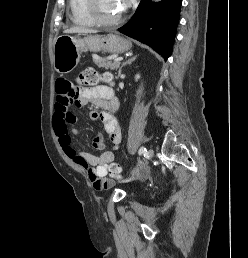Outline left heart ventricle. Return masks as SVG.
Returning <instances> with one entry per match:
<instances>
[{"mask_svg": "<svg viewBox=\"0 0 248 258\" xmlns=\"http://www.w3.org/2000/svg\"><path fill=\"white\" fill-rule=\"evenodd\" d=\"M99 15L106 19H114L121 15L117 0H98Z\"/></svg>", "mask_w": 248, "mask_h": 258, "instance_id": "obj_1", "label": "left heart ventricle"}]
</instances>
